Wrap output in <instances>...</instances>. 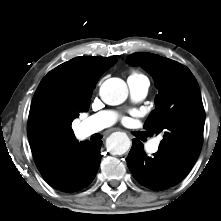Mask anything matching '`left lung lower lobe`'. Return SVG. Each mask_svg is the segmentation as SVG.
I'll return each instance as SVG.
<instances>
[{
	"instance_id": "obj_1",
	"label": "left lung lower lobe",
	"mask_w": 221,
	"mask_h": 221,
	"mask_svg": "<svg viewBox=\"0 0 221 221\" xmlns=\"http://www.w3.org/2000/svg\"><path fill=\"white\" fill-rule=\"evenodd\" d=\"M127 165L133 177L143 186L153 190H165L179 183L185 175L172 161L157 151L147 156L143 144L132 140Z\"/></svg>"
}]
</instances>
